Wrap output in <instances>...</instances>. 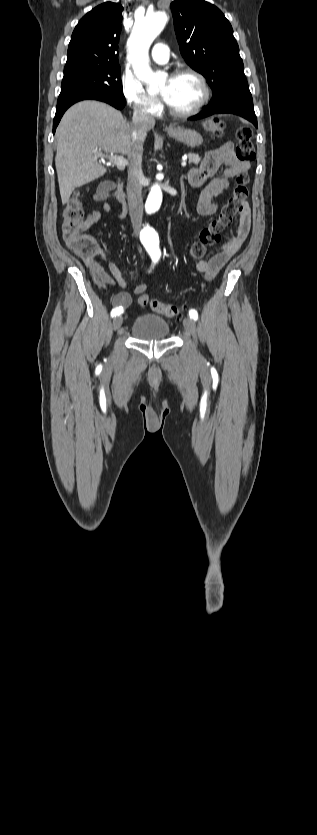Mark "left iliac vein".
<instances>
[{"mask_svg":"<svg viewBox=\"0 0 317 835\" xmlns=\"http://www.w3.org/2000/svg\"><path fill=\"white\" fill-rule=\"evenodd\" d=\"M183 325L185 330L189 333V335H191L194 338L195 342L197 343L195 322L191 318L186 317L183 320Z\"/></svg>","mask_w":317,"mask_h":835,"instance_id":"4c4485c4","label":"left iliac vein"}]
</instances>
